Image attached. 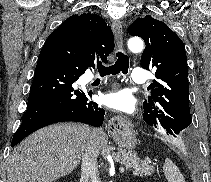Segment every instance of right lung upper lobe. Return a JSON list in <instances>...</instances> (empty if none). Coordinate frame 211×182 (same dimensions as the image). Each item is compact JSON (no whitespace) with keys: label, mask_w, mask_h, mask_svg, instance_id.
<instances>
[{"label":"right lung upper lobe","mask_w":211,"mask_h":182,"mask_svg":"<svg viewBox=\"0 0 211 182\" xmlns=\"http://www.w3.org/2000/svg\"><path fill=\"white\" fill-rule=\"evenodd\" d=\"M62 25L78 41L82 56L92 67L96 57L106 62L107 56L114 50L112 30L97 14L73 15L60 26Z\"/></svg>","instance_id":"right-lung-upper-lobe-1"}]
</instances>
